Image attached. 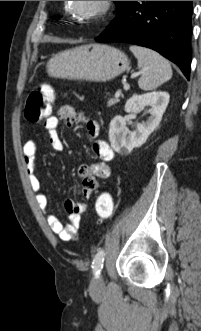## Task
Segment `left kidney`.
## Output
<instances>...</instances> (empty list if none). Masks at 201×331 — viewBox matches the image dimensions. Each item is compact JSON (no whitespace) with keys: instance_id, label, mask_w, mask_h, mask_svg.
I'll use <instances>...</instances> for the list:
<instances>
[{"instance_id":"obj_1","label":"left kidney","mask_w":201,"mask_h":331,"mask_svg":"<svg viewBox=\"0 0 201 331\" xmlns=\"http://www.w3.org/2000/svg\"><path fill=\"white\" fill-rule=\"evenodd\" d=\"M167 92H150L146 94H134L125 104L127 113L137 114L145 107H150V117L144 123L137 124L131 132L126 127V119L116 116L110 123L109 140L112 148L119 154L127 155L136 148L142 146L149 135L158 127L163 113L169 103Z\"/></svg>"}]
</instances>
